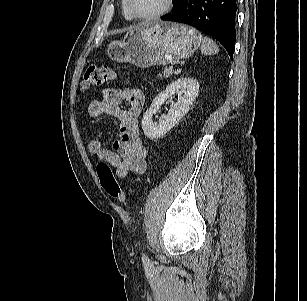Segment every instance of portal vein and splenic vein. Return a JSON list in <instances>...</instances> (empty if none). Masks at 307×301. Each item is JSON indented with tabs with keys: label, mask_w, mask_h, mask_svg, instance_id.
I'll list each match as a JSON object with an SVG mask.
<instances>
[{
	"label": "portal vein and splenic vein",
	"mask_w": 307,
	"mask_h": 301,
	"mask_svg": "<svg viewBox=\"0 0 307 301\" xmlns=\"http://www.w3.org/2000/svg\"><path fill=\"white\" fill-rule=\"evenodd\" d=\"M173 68V63H172V66H171V69Z\"/></svg>",
	"instance_id": "18ae733b"
}]
</instances>
